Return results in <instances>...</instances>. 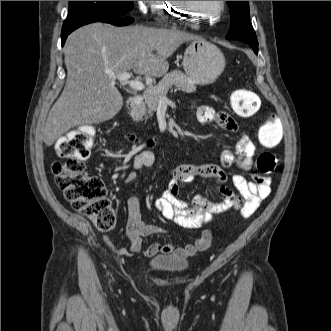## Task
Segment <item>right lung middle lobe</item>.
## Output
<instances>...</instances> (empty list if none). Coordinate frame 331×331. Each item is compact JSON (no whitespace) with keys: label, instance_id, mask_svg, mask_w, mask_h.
I'll list each match as a JSON object with an SVG mask.
<instances>
[{"label":"right lung middle lobe","instance_id":"dd1d6c3e","mask_svg":"<svg viewBox=\"0 0 331 331\" xmlns=\"http://www.w3.org/2000/svg\"><path fill=\"white\" fill-rule=\"evenodd\" d=\"M132 9L133 1H70L62 34L102 19L124 17Z\"/></svg>","mask_w":331,"mask_h":331}]
</instances>
